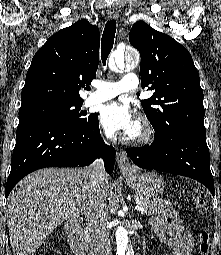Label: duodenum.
<instances>
[{"instance_id":"410a0bca","label":"duodenum","mask_w":221,"mask_h":255,"mask_svg":"<svg viewBox=\"0 0 221 255\" xmlns=\"http://www.w3.org/2000/svg\"><path fill=\"white\" fill-rule=\"evenodd\" d=\"M66 233L69 244L76 255H94L93 250L87 244L79 221L70 220L66 225Z\"/></svg>"}]
</instances>
